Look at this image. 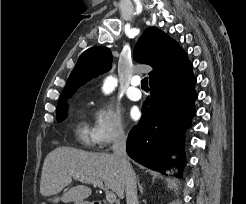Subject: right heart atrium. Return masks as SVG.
Here are the masks:
<instances>
[{
    "instance_id": "right-heart-atrium-1",
    "label": "right heart atrium",
    "mask_w": 246,
    "mask_h": 204,
    "mask_svg": "<svg viewBox=\"0 0 246 204\" xmlns=\"http://www.w3.org/2000/svg\"><path fill=\"white\" fill-rule=\"evenodd\" d=\"M92 139L106 148L126 138L127 128L118 108L110 101H100L93 111Z\"/></svg>"
}]
</instances>
